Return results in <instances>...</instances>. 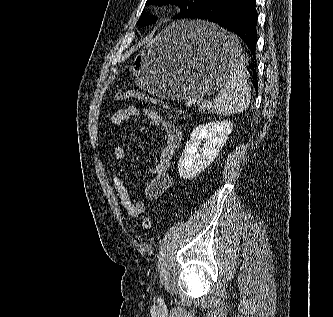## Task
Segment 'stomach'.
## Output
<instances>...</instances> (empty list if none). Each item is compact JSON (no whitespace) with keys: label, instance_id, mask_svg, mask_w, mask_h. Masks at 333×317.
<instances>
[{"label":"stomach","instance_id":"0dacf381","mask_svg":"<svg viewBox=\"0 0 333 317\" xmlns=\"http://www.w3.org/2000/svg\"><path fill=\"white\" fill-rule=\"evenodd\" d=\"M248 62L231 29L205 21L172 23L133 59L136 83L168 100L202 99L214 93L229 74Z\"/></svg>","mask_w":333,"mask_h":317}]
</instances>
